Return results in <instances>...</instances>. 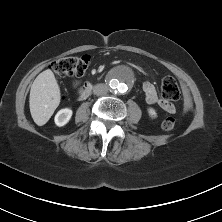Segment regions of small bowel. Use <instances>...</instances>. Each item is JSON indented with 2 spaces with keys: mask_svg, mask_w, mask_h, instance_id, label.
I'll list each match as a JSON object with an SVG mask.
<instances>
[{
  "mask_svg": "<svg viewBox=\"0 0 222 222\" xmlns=\"http://www.w3.org/2000/svg\"><path fill=\"white\" fill-rule=\"evenodd\" d=\"M73 86L74 88H79L80 81H74ZM142 88L147 103L157 104L161 109H163L167 113L173 114L176 112V108L172 103L158 97L155 86L151 82H144ZM184 111L187 112V108H185Z\"/></svg>",
  "mask_w": 222,
  "mask_h": 222,
  "instance_id": "obj_1",
  "label": "small bowel"
}]
</instances>
